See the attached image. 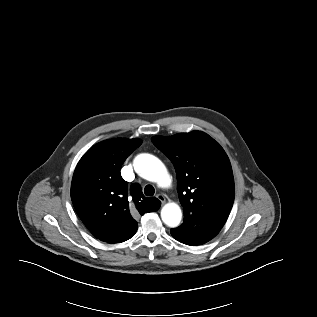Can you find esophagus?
I'll return each mask as SVG.
<instances>
[{
	"instance_id": "1",
	"label": "esophagus",
	"mask_w": 317,
	"mask_h": 317,
	"mask_svg": "<svg viewBox=\"0 0 317 317\" xmlns=\"http://www.w3.org/2000/svg\"><path fill=\"white\" fill-rule=\"evenodd\" d=\"M157 198L161 201L162 204H164L166 202V199L162 194H158Z\"/></svg>"
}]
</instances>
